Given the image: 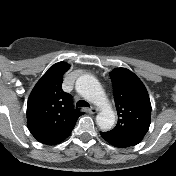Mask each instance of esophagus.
Masks as SVG:
<instances>
[{
	"mask_svg": "<svg viewBox=\"0 0 176 176\" xmlns=\"http://www.w3.org/2000/svg\"><path fill=\"white\" fill-rule=\"evenodd\" d=\"M98 111L99 110L96 107H93V106L87 109V112L89 114H95V113H98Z\"/></svg>",
	"mask_w": 176,
	"mask_h": 176,
	"instance_id": "1",
	"label": "esophagus"
}]
</instances>
